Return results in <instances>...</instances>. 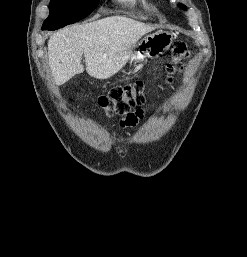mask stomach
Returning a JSON list of instances; mask_svg holds the SVG:
<instances>
[{"mask_svg": "<svg viewBox=\"0 0 247 257\" xmlns=\"http://www.w3.org/2000/svg\"><path fill=\"white\" fill-rule=\"evenodd\" d=\"M173 42V35L169 32L159 31L144 37L131 54L129 63L135 65L146 58H154L168 50Z\"/></svg>", "mask_w": 247, "mask_h": 257, "instance_id": "obj_1", "label": "stomach"}]
</instances>
